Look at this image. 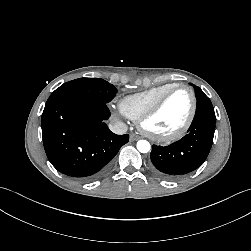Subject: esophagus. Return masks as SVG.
Segmentation results:
<instances>
[{
    "label": "esophagus",
    "mask_w": 251,
    "mask_h": 251,
    "mask_svg": "<svg viewBox=\"0 0 251 251\" xmlns=\"http://www.w3.org/2000/svg\"><path fill=\"white\" fill-rule=\"evenodd\" d=\"M140 138L141 137L139 135H137V134H134V133L130 134V140L131 141H136V140H139Z\"/></svg>",
    "instance_id": "34e87169"
}]
</instances>
